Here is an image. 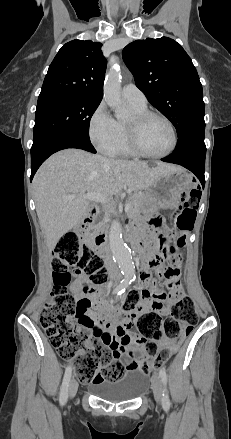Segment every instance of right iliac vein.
Instances as JSON below:
<instances>
[{"instance_id":"obj_1","label":"right iliac vein","mask_w":231,"mask_h":439,"mask_svg":"<svg viewBox=\"0 0 231 439\" xmlns=\"http://www.w3.org/2000/svg\"><path fill=\"white\" fill-rule=\"evenodd\" d=\"M78 390V383L75 379H72L69 386V396L74 397Z\"/></svg>"}]
</instances>
